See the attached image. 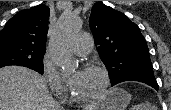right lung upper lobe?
<instances>
[{
	"label": "right lung upper lobe",
	"instance_id": "cb5924a9",
	"mask_svg": "<svg viewBox=\"0 0 171 110\" xmlns=\"http://www.w3.org/2000/svg\"><path fill=\"white\" fill-rule=\"evenodd\" d=\"M49 14L50 9L46 5L18 12L0 31V43L10 42L33 50L45 51Z\"/></svg>",
	"mask_w": 171,
	"mask_h": 110
}]
</instances>
